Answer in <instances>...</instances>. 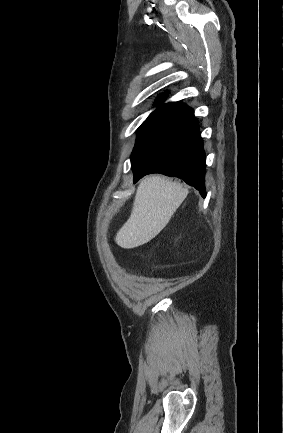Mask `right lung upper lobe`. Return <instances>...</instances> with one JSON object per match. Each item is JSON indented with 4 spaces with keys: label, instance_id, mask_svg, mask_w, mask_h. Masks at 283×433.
<instances>
[{
    "label": "right lung upper lobe",
    "instance_id": "right-lung-upper-lobe-1",
    "mask_svg": "<svg viewBox=\"0 0 283 433\" xmlns=\"http://www.w3.org/2000/svg\"><path fill=\"white\" fill-rule=\"evenodd\" d=\"M163 99H164V96H160V97H159V100H163ZM180 104H181L180 102L168 103V104H165V105L160 106V107H159L157 110H155L153 113H156V114L162 115L163 113H165V112H167V111L173 109L174 107H176V106H178V105H180Z\"/></svg>",
    "mask_w": 283,
    "mask_h": 433
}]
</instances>
